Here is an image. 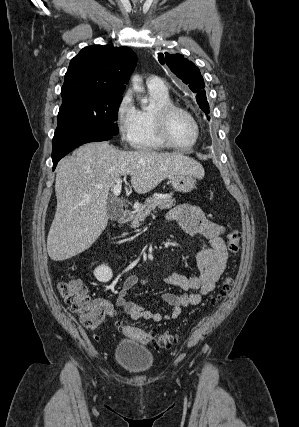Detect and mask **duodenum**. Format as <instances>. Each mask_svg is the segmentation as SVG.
<instances>
[{"instance_id": "410a0bca", "label": "duodenum", "mask_w": 299, "mask_h": 427, "mask_svg": "<svg viewBox=\"0 0 299 427\" xmlns=\"http://www.w3.org/2000/svg\"><path fill=\"white\" fill-rule=\"evenodd\" d=\"M131 211L130 210H124L120 219V223L121 224H126L130 221L131 219Z\"/></svg>"}]
</instances>
